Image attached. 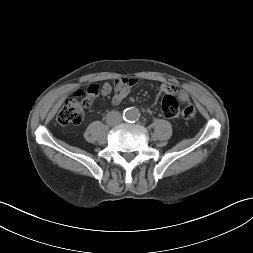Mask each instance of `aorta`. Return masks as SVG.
<instances>
[{"label":"aorta","instance_id":"aorta-1","mask_svg":"<svg viewBox=\"0 0 253 253\" xmlns=\"http://www.w3.org/2000/svg\"><path fill=\"white\" fill-rule=\"evenodd\" d=\"M140 116V113L138 111V109L136 108H127L124 111V118L128 121H135L138 120Z\"/></svg>","mask_w":253,"mask_h":253}]
</instances>
